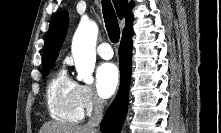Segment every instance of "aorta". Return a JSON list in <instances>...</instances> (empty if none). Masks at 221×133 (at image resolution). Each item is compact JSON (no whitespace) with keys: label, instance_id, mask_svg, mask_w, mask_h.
<instances>
[{"label":"aorta","instance_id":"1","mask_svg":"<svg viewBox=\"0 0 221 133\" xmlns=\"http://www.w3.org/2000/svg\"><path fill=\"white\" fill-rule=\"evenodd\" d=\"M98 26L90 20H82L72 41V55L77 71V79L92 84V76L96 62V40Z\"/></svg>","mask_w":221,"mask_h":133}]
</instances>
